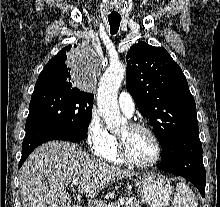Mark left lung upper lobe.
Segmentation results:
<instances>
[{
	"instance_id": "5c2ea615",
	"label": "left lung upper lobe",
	"mask_w": 220,
	"mask_h": 207,
	"mask_svg": "<svg viewBox=\"0 0 220 207\" xmlns=\"http://www.w3.org/2000/svg\"><path fill=\"white\" fill-rule=\"evenodd\" d=\"M126 86L138 110L150 125L162 147L179 134L198 129L196 104L186 77L163 47L145 42L127 52Z\"/></svg>"
}]
</instances>
